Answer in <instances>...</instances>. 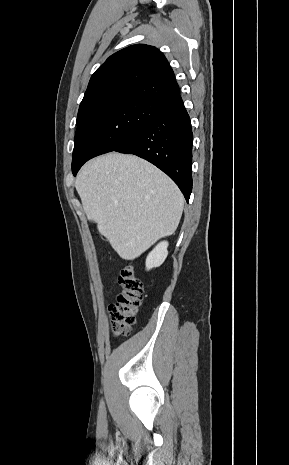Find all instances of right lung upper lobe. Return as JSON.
<instances>
[{
  "label": "right lung upper lobe",
  "instance_id": "right-lung-upper-lobe-1",
  "mask_svg": "<svg viewBox=\"0 0 289 465\" xmlns=\"http://www.w3.org/2000/svg\"><path fill=\"white\" fill-rule=\"evenodd\" d=\"M174 72L164 54L144 44L111 55L92 75L80 103L77 122L109 105L143 100L160 104L179 94Z\"/></svg>",
  "mask_w": 289,
  "mask_h": 465
}]
</instances>
